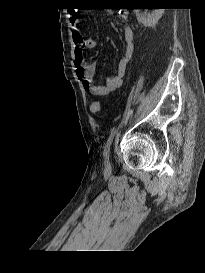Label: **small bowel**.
Here are the masks:
<instances>
[{"mask_svg":"<svg viewBox=\"0 0 205 273\" xmlns=\"http://www.w3.org/2000/svg\"><path fill=\"white\" fill-rule=\"evenodd\" d=\"M122 19H127L126 14L121 15ZM80 17L77 14L70 15V23L73 26L74 42V65L76 74L81 81L85 91L92 96H104L116 90L122 84V78L125 74L127 64L133 51V31L130 27L123 29V38L126 45L124 55L119 59L116 74L107 76L103 84L98 85L94 82L96 71L95 63H84V50H94L97 48V42L94 39H82L77 25Z\"/></svg>","mask_w":205,"mask_h":273,"instance_id":"obj_1","label":"small bowel"}]
</instances>
